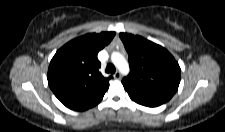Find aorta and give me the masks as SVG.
<instances>
[{
  "mask_svg": "<svg viewBox=\"0 0 225 132\" xmlns=\"http://www.w3.org/2000/svg\"><path fill=\"white\" fill-rule=\"evenodd\" d=\"M111 60L121 73L127 74L129 72L128 63L122 54L119 52H113L111 54Z\"/></svg>",
  "mask_w": 225,
  "mask_h": 132,
  "instance_id": "1",
  "label": "aorta"
}]
</instances>
